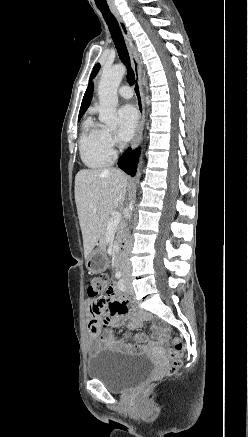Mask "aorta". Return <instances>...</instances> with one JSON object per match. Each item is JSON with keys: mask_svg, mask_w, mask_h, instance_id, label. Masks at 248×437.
<instances>
[{"mask_svg": "<svg viewBox=\"0 0 248 437\" xmlns=\"http://www.w3.org/2000/svg\"><path fill=\"white\" fill-rule=\"evenodd\" d=\"M125 71L126 68L123 65H116L110 69H105L98 85V96L100 103L99 120L111 128H115L118 124L116 114V107L118 104L117 90ZM139 177L140 172L138 169L136 175L137 182L139 181Z\"/></svg>", "mask_w": 248, "mask_h": 437, "instance_id": "aorta-1", "label": "aorta"}]
</instances>
